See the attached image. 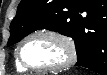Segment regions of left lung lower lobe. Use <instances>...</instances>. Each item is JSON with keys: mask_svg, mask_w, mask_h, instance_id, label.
<instances>
[{"mask_svg": "<svg viewBox=\"0 0 107 75\" xmlns=\"http://www.w3.org/2000/svg\"><path fill=\"white\" fill-rule=\"evenodd\" d=\"M86 4L93 6V14L98 18L107 19V0H87ZM82 39H84V52L75 66H82L101 75H107V38L83 36Z\"/></svg>", "mask_w": 107, "mask_h": 75, "instance_id": "1", "label": "left lung lower lobe"}]
</instances>
